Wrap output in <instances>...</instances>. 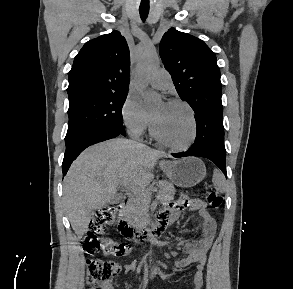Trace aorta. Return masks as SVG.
<instances>
[{"instance_id": "aorta-1", "label": "aorta", "mask_w": 293, "mask_h": 289, "mask_svg": "<svg viewBox=\"0 0 293 289\" xmlns=\"http://www.w3.org/2000/svg\"><path fill=\"white\" fill-rule=\"evenodd\" d=\"M159 68V59L153 53L143 55L137 65V85L139 91L148 105H153L161 101V96L147 89V79Z\"/></svg>"}]
</instances>
